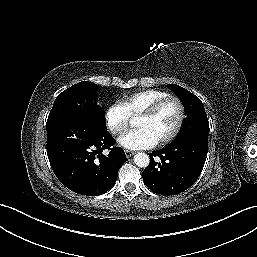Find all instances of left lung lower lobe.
<instances>
[{
  "mask_svg": "<svg viewBox=\"0 0 257 257\" xmlns=\"http://www.w3.org/2000/svg\"><path fill=\"white\" fill-rule=\"evenodd\" d=\"M208 142L186 140L149 153L150 164L142 172L146 186L161 195L188 189L199 177L206 161ZM158 156L161 162H155Z\"/></svg>",
  "mask_w": 257,
  "mask_h": 257,
  "instance_id": "0a47b994",
  "label": "left lung lower lobe"
}]
</instances>
